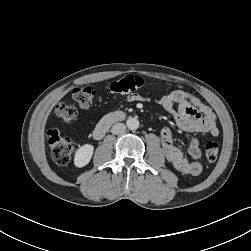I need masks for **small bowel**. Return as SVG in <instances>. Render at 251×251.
Returning <instances> with one entry per match:
<instances>
[{"label":"small bowel","instance_id":"1","mask_svg":"<svg viewBox=\"0 0 251 251\" xmlns=\"http://www.w3.org/2000/svg\"><path fill=\"white\" fill-rule=\"evenodd\" d=\"M126 101L146 102L150 99L134 94L129 95ZM155 102L172 116L179 129L190 133H208L212 136L219 134L214 112L196 95L174 90L155 99ZM160 136L166 158L177 171L193 176L201 173L202 165L199 160L202 153L198 138L193 137L190 141L188 153L191 160H189L174 144L170 128H162Z\"/></svg>","mask_w":251,"mask_h":251}]
</instances>
